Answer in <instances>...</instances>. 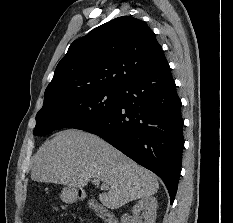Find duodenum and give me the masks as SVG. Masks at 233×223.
<instances>
[{"instance_id":"410a0bca","label":"duodenum","mask_w":233,"mask_h":223,"mask_svg":"<svg viewBox=\"0 0 233 223\" xmlns=\"http://www.w3.org/2000/svg\"><path fill=\"white\" fill-rule=\"evenodd\" d=\"M88 206L104 223H118L116 216L106 210L98 201L90 199Z\"/></svg>"}]
</instances>
